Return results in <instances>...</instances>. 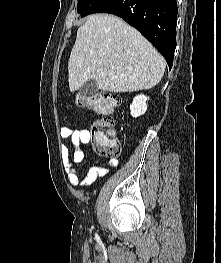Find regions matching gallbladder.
<instances>
[{"instance_id":"bac80fb5","label":"gallbladder","mask_w":221,"mask_h":263,"mask_svg":"<svg viewBox=\"0 0 221 263\" xmlns=\"http://www.w3.org/2000/svg\"><path fill=\"white\" fill-rule=\"evenodd\" d=\"M79 91L82 95H85V96L86 95H88V96L94 95L99 91L98 84L94 80H88L86 83H84L80 87Z\"/></svg>"}]
</instances>
